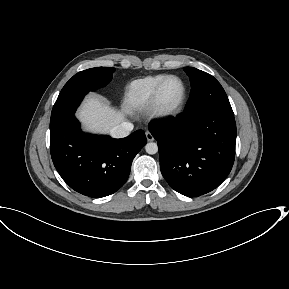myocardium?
Listing matches in <instances>:
<instances>
[{
    "instance_id": "1",
    "label": "myocardium",
    "mask_w": 289,
    "mask_h": 289,
    "mask_svg": "<svg viewBox=\"0 0 289 289\" xmlns=\"http://www.w3.org/2000/svg\"><path fill=\"white\" fill-rule=\"evenodd\" d=\"M171 79H175L180 82L182 86V94L180 99L174 105L165 106L161 102V92L165 83ZM186 98H187V87L185 82L179 76L167 75L158 83L153 92L151 102L148 107L149 113L152 117L156 119L172 118L180 113L185 104Z\"/></svg>"
}]
</instances>
